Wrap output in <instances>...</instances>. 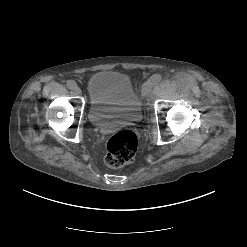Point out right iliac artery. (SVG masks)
Listing matches in <instances>:
<instances>
[{"label":"right iliac artery","instance_id":"82829eb1","mask_svg":"<svg viewBox=\"0 0 247 247\" xmlns=\"http://www.w3.org/2000/svg\"><path fill=\"white\" fill-rule=\"evenodd\" d=\"M67 87H68L69 89H74V88L77 87V83H76L75 81H73V80H68V81H67Z\"/></svg>","mask_w":247,"mask_h":247}]
</instances>
